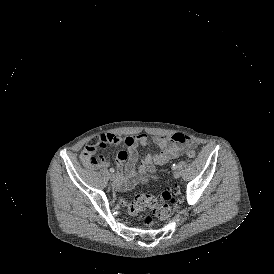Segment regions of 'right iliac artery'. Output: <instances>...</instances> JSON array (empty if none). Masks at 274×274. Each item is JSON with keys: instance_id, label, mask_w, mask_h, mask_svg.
I'll return each instance as SVG.
<instances>
[{"instance_id": "1", "label": "right iliac artery", "mask_w": 274, "mask_h": 274, "mask_svg": "<svg viewBox=\"0 0 274 274\" xmlns=\"http://www.w3.org/2000/svg\"><path fill=\"white\" fill-rule=\"evenodd\" d=\"M114 171H115V169H114V168H110V172H112V173H113Z\"/></svg>"}]
</instances>
